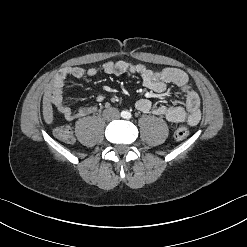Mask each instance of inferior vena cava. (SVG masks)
Here are the masks:
<instances>
[{
  "label": "inferior vena cava",
  "instance_id": "obj_1",
  "mask_svg": "<svg viewBox=\"0 0 247 247\" xmlns=\"http://www.w3.org/2000/svg\"><path fill=\"white\" fill-rule=\"evenodd\" d=\"M103 117L107 120H114L120 117L119 111L116 108H109L104 110Z\"/></svg>",
  "mask_w": 247,
  "mask_h": 247
}]
</instances>
